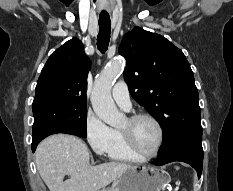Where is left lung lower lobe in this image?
<instances>
[{
	"mask_svg": "<svg viewBox=\"0 0 233 191\" xmlns=\"http://www.w3.org/2000/svg\"><path fill=\"white\" fill-rule=\"evenodd\" d=\"M173 161H182L190 164L200 178L203 167L202 133H193L182 136L167 150L160 154L154 164L164 165Z\"/></svg>",
	"mask_w": 233,
	"mask_h": 191,
	"instance_id": "obj_1",
	"label": "left lung lower lobe"
}]
</instances>
